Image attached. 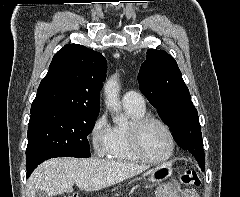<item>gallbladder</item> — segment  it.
I'll return each instance as SVG.
<instances>
[{
    "label": "gallbladder",
    "mask_w": 240,
    "mask_h": 197,
    "mask_svg": "<svg viewBox=\"0 0 240 197\" xmlns=\"http://www.w3.org/2000/svg\"><path fill=\"white\" fill-rule=\"evenodd\" d=\"M36 197H49L44 190H37Z\"/></svg>",
    "instance_id": "gallbladder-1"
}]
</instances>
